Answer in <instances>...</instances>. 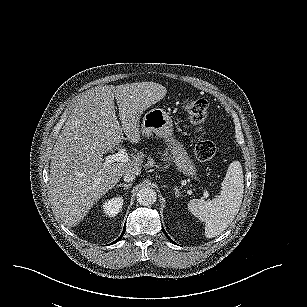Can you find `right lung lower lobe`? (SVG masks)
I'll list each match as a JSON object with an SVG mask.
<instances>
[{"label":"right lung lower lobe","instance_id":"1","mask_svg":"<svg viewBox=\"0 0 307 307\" xmlns=\"http://www.w3.org/2000/svg\"><path fill=\"white\" fill-rule=\"evenodd\" d=\"M124 232H125V227H124V229H123V232H122L121 236H120L116 241H114L113 243L118 242V241L122 238V236L124 235Z\"/></svg>","mask_w":307,"mask_h":307}]
</instances>
